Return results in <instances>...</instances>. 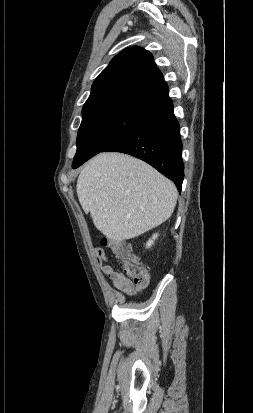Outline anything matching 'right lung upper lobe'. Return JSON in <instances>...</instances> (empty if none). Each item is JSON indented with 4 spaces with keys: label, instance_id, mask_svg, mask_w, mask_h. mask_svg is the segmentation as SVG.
I'll return each mask as SVG.
<instances>
[{
    "label": "right lung upper lobe",
    "instance_id": "right-lung-upper-lobe-1",
    "mask_svg": "<svg viewBox=\"0 0 253 413\" xmlns=\"http://www.w3.org/2000/svg\"><path fill=\"white\" fill-rule=\"evenodd\" d=\"M172 104L168 86L153 56L134 46L115 56L92 85L82 118L108 112H128L149 117Z\"/></svg>",
    "mask_w": 253,
    "mask_h": 413
}]
</instances>
